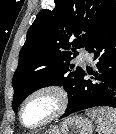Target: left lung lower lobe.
Instances as JSON below:
<instances>
[{
    "mask_svg": "<svg viewBox=\"0 0 116 134\" xmlns=\"http://www.w3.org/2000/svg\"><path fill=\"white\" fill-rule=\"evenodd\" d=\"M87 51L93 52L97 70L82 71L74 97L63 117L98 106L116 108V5L109 11Z\"/></svg>",
    "mask_w": 116,
    "mask_h": 134,
    "instance_id": "left-lung-lower-lobe-1",
    "label": "left lung lower lobe"
}]
</instances>
